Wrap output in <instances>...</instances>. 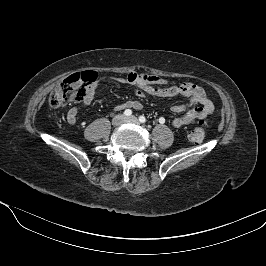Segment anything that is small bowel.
I'll return each instance as SVG.
<instances>
[{"label":"small bowel","mask_w":266,"mask_h":266,"mask_svg":"<svg viewBox=\"0 0 266 266\" xmlns=\"http://www.w3.org/2000/svg\"><path fill=\"white\" fill-rule=\"evenodd\" d=\"M113 81L130 86L136 96L142 98L146 94L175 97L183 96L187 98L186 104L174 105L171 111L179 114L186 111L185 114L172 119V126L183 127L193 124L197 120H205L214 111L212 101L207 97L205 91L192 82H183L178 85H170L168 80L154 74L144 72H130L125 78H112ZM99 81H95L87 88L86 97L83 101L84 105H90L95 97L96 89ZM142 104L138 100H128L123 104L115 106V110L124 108L141 109ZM78 108L72 107L67 112V120L70 124H75L78 116Z\"/></svg>","instance_id":"1"}]
</instances>
